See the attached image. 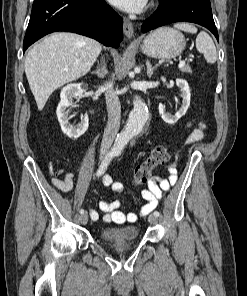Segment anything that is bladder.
<instances>
[{
	"label": "bladder",
	"instance_id": "bladder-1",
	"mask_svg": "<svg viewBox=\"0 0 247 296\" xmlns=\"http://www.w3.org/2000/svg\"><path fill=\"white\" fill-rule=\"evenodd\" d=\"M139 235V228L136 225H128L122 227L104 228L100 232V237L108 243L133 241Z\"/></svg>",
	"mask_w": 247,
	"mask_h": 296
}]
</instances>
